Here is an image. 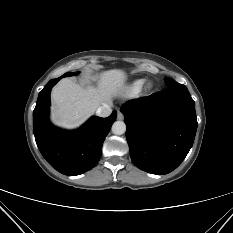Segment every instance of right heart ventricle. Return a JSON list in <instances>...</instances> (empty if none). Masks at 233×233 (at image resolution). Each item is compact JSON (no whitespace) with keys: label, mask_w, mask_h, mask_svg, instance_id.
Returning <instances> with one entry per match:
<instances>
[{"label":"right heart ventricle","mask_w":233,"mask_h":233,"mask_svg":"<svg viewBox=\"0 0 233 233\" xmlns=\"http://www.w3.org/2000/svg\"><path fill=\"white\" fill-rule=\"evenodd\" d=\"M142 85H143L142 79L134 81L130 86V92L137 93L142 88Z\"/></svg>","instance_id":"1"}]
</instances>
